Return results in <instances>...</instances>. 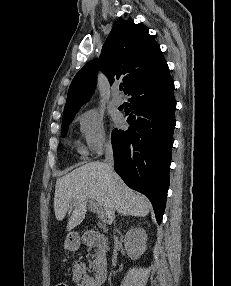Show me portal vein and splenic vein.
<instances>
[{
    "label": "portal vein and splenic vein",
    "instance_id": "obj_1",
    "mask_svg": "<svg viewBox=\"0 0 231 286\" xmlns=\"http://www.w3.org/2000/svg\"><path fill=\"white\" fill-rule=\"evenodd\" d=\"M91 208L97 213L98 218L103 222L105 221V212L104 210L99 207V205L94 201V200H90L89 201ZM73 205H75V203H73Z\"/></svg>",
    "mask_w": 231,
    "mask_h": 286
}]
</instances>
